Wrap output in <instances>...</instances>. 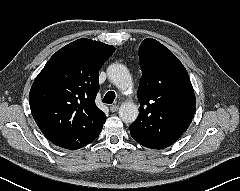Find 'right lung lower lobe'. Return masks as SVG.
I'll return each mask as SVG.
<instances>
[{
    "label": "right lung lower lobe",
    "instance_id": "98d812e1",
    "mask_svg": "<svg viewBox=\"0 0 240 191\" xmlns=\"http://www.w3.org/2000/svg\"><path fill=\"white\" fill-rule=\"evenodd\" d=\"M102 127L96 133H94L91 136H87V137H85V138H83L79 141H75V142L58 144L57 146H60V147L65 148V149H70V150H76V149H79L81 147H84L85 145L94 141L99 136V134L102 130Z\"/></svg>",
    "mask_w": 240,
    "mask_h": 191
}]
</instances>
